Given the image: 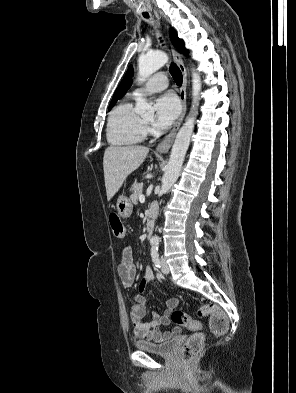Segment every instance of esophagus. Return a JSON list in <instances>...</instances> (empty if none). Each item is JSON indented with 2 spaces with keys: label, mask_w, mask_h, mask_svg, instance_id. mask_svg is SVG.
<instances>
[{
  "label": "esophagus",
  "mask_w": 296,
  "mask_h": 393,
  "mask_svg": "<svg viewBox=\"0 0 296 393\" xmlns=\"http://www.w3.org/2000/svg\"><path fill=\"white\" fill-rule=\"evenodd\" d=\"M172 54H173V58L175 63L177 64V66L179 67L181 73H182V86L180 88V92H179V99L181 102V113L178 117V119L176 120L171 132L163 139V141L157 146V151L160 153H167L169 151V149L171 148L173 141L175 139L176 133L183 121V118L186 114V110H187V71L186 68L184 66L182 57L180 55V53L176 50V49H172Z\"/></svg>",
  "instance_id": "esophagus-1"
}]
</instances>
